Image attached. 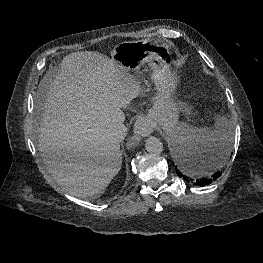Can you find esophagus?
<instances>
[{
    "instance_id": "obj_1",
    "label": "esophagus",
    "mask_w": 263,
    "mask_h": 263,
    "mask_svg": "<svg viewBox=\"0 0 263 263\" xmlns=\"http://www.w3.org/2000/svg\"><path fill=\"white\" fill-rule=\"evenodd\" d=\"M134 135L131 138L132 143H136L141 137L149 136L153 132V126L147 119H138L134 124Z\"/></svg>"
}]
</instances>
